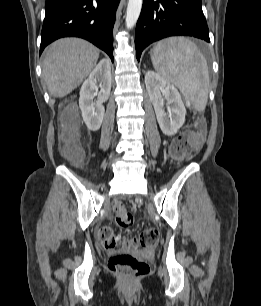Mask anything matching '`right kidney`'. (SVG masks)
<instances>
[{"instance_id": "right-kidney-1", "label": "right kidney", "mask_w": 261, "mask_h": 306, "mask_svg": "<svg viewBox=\"0 0 261 306\" xmlns=\"http://www.w3.org/2000/svg\"><path fill=\"white\" fill-rule=\"evenodd\" d=\"M110 90L111 65L107 59H103L93 69L80 89L79 107L89 130L97 131L101 127L105 113L102 104L109 98Z\"/></svg>"}]
</instances>
